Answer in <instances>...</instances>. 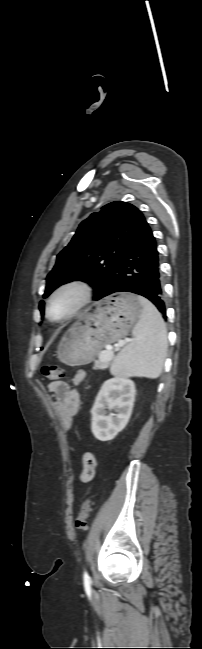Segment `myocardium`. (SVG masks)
<instances>
[{
    "mask_svg": "<svg viewBox=\"0 0 202 649\" xmlns=\"http://www.w3.org/2000/svg\"><path fill=\"white\" fill-rule=\"evenodd\" d=\"M66 291H73L76 293L77 299L75 301V304L65 316L61 318H55L51 313V303L58 295ZM92 295L93 289L87 281L78 278L65 281L58 285L48 296L46 300V315L48 319L53 322L68 321L75 317L85 306L90 303Z\"/></svg>",
    "mask_w": 202,
    "mask_h": 649,
    "instance_id": "myocardium-1",
    "label": "myocardium"
}]
</instances>
